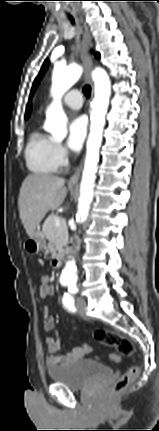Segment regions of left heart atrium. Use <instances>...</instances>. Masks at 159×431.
Listing matches in <instances>:
<instances>
[{"mask_svg":"<svg viewBox=\"0 0 159 431\" xmlns=\"http://www.w3.org/2000/svg\"><path fill=\"white\" fill-rule=\"evenodd\" d=\"M87 134V119L80 115L71 120L68 126L67 145L73 151H79Z\"/></svg>","mask_w":159,"mask_h":431,"instance_id":"left-heart-atrium-1","label":"left heart atrium"}]
</instances>
